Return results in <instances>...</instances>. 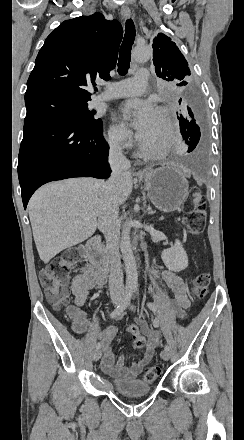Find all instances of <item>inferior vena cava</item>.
I'll list each match as a JSON object with an SVG mask.
<instances>
[{"label":"inferior vena cava","mask_w":244,"mask_h":440,"mask_svg":"<svg viewBox=\"0 0 244 440\" xmlns=\"http://www.w3.org/2000/svg\"><path fill=\"white\" fill-rule=\"evenodd\" d=\"M108 162L112 170L111 178L104 184L102 206L99 208L97 226L103 232L110 254L109 290L111 296H123V272L119 256L120 226L118 224L119 208L116 192L121 180L129 176L131 164L119 148H111Z\"/></svg>","instance_id":"602c4592"}]
</instances>
